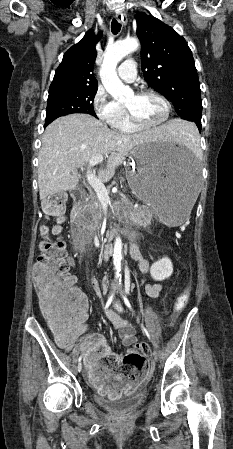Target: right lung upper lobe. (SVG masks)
<instances>
[{
    "label": "right lung upper lobe",
    "mask_w": 233,
    "mask_h": 449,
    "mask_svg": "<svg viewBox=\"0 0 233 449\" xmlns=\"http://www.w3.org/2000/svg\"><path fill=\"white\" fill-rule=\"evenodd\" d=\"M100 32L95 36L92 30L73 45L63 56V60L55 71L49 94L67 90L97 89L98 83L93 74L96 59V43L101 38Z\"/></svg>",
    "instance_id": "1"
}]
</instances>
